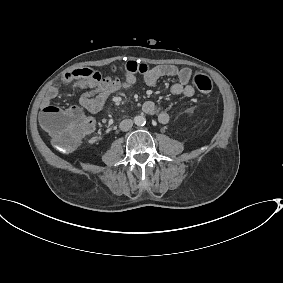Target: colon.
<instances>
[{"label":"colon","instance_id":"colon-1","mask_svg":"<svg viewBox=\"0 0 283 283\" xmlns=\"http://www.w3.org/2000/svg\"><path fill=\"white\" fill-rule=\"evenodd\" d=\"M118 69L133 75L147 72L145 64L133 61ZM193 83L202 93H209L213 87L211 79L201 73L194 75ZM40 122L52 137L56 147L63 152L72 151L93 128L92 121L77 108L60 110L49 107L42 111Z\"/></svg>","mask_w":283,"mask_h":283}]
</instances>
